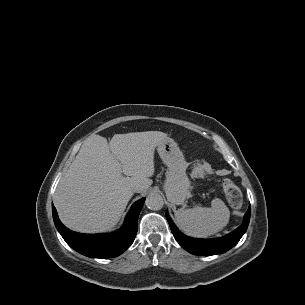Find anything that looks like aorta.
I'll list each match as a JSON object with an SVG mask.
<instances>
[{
  "label": "aorta",
  "instance_id": "1",
  "mask_svg": "<svg viewBox=\"0 0 305 305\" xmlns=\"http://www.w3.org/2000/svg\"><path fill=\"white\" fill-rule=\"evenodd\" d=\"M145 205L150 210L157 211V210H160V209L163 208L164 201H163V198L160 194L151 193L146 197Z\"/></svg>",
  "mask_w": 305,
  "mask_h": 305
}]
</instances>
